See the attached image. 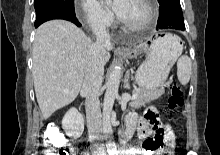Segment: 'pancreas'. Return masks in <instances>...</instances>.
Returning a JSON list of instances; mask_svg holds the SVG:
<instances>
[{
  "instance_id": "cf45deb5",
  "label": "pancreas",
  "mask_w": 220,
  "mask_h": 155,
  "mask_svg": "<svg viewBox=\"0 0 220 155\" xmlns=\"http://www.w3.org/2000/svg\"><path fill=\"white\" fill-rule=\"evenodd\" d=\"M167 86H169V84ZM164 92H165L164 88H161L158 91L153 92V93L140 91L137 98L133 102L130 103V107L134 109H138L141 106H144L145 104H148L153 100H156L161 95H163Z\"/></svg>"
}]
</instances>
